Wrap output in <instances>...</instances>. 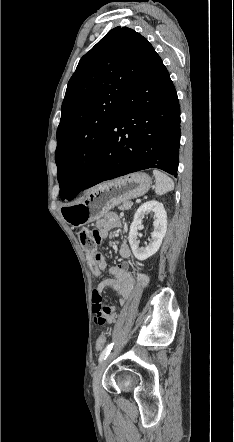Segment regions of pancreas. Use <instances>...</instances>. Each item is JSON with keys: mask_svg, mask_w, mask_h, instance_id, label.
<instances>
[{"mask_svg": "<svg viewBox=\"0 0 234 442\" xmlns=\"http://www.w3.org/2000/svg\"><path fill=\"white\" fill-rule=\"evenodd\" d=\"M133 205V202L131 201H125L121 205L118 206V209L120 210H128Z\"/></svg>", "mask_w": 234, "mask_h": 442, "instance_id": "cf45deb5", "label": "pancreas"}]
</instances>
